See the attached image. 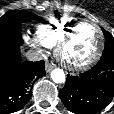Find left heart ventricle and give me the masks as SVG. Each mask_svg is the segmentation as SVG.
<instances>
[{
	"label": "left heart ventricle",
	"mask_w": 114,
	"mask_h": 114,
	"mask_svg": "<svg viewBox=\"0 0 114 114\" xmlns=\"http://www.w3.org/2000/svg\"><path fill=\"white\" fill-rule=\"evenodd\" d=\"M98 34L90 23L80 25L65 49L66 57L73 62L87 60L96 50Z\"/></svg>",
	"instance_id": "obj_1"
}]
</instances>
